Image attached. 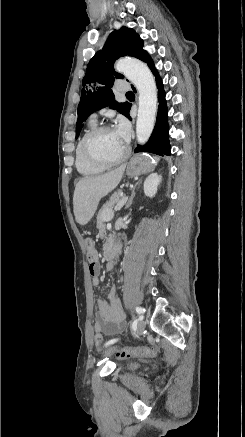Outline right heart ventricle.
I'll return each mask as SVG.
<instances>
[{"instance_id":"1","label":"right heart ventricle","mask_w":245,"mask_h":437,"mask_svg":"<svg viewBox=\"0 0 245 437\" xmlns=\"http://www.w3.org/2000/svg\"><path fill=\"white\" fill-rule=\"evenodd\" d=\"M96 126L95 121L90 120L86 129L77 141L75 148V167L77 171L84 176H94L101 174L106 168L95 165L88 161L83 153L82 144L87 133Z\"/></svg>"}]
</instances>
